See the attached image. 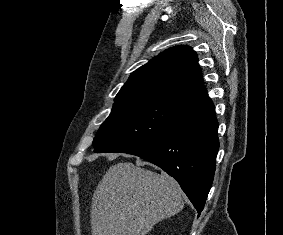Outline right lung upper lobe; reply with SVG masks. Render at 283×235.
Wrapping results in <instances>:
<instances>
[{
  "label": "right lung upper lobe",
  "instance_id": "right-lung-upper-lobe-1",
  "mask_svg": "<svg viewBox=\"0 0 283 235\" xmlns=\"http://www.w3.org/2000/svg\"><path fill=\"white\" fill-rule=\"evenodd\" d=\"M207 95L198 57L188 46L165 50L134 71L115 97L132 100H170L189 104Z\"/></svg>",
  "mask_w": 283,
  "mask_h": 235
}]
</instances>
